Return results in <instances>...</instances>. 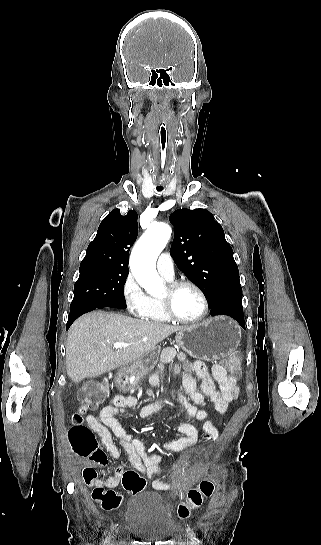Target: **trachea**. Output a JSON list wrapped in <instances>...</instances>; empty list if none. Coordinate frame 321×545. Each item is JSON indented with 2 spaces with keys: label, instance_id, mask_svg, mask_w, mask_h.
<instances>
[{
  "label": "trachea",
  "instance_id": "1",
  "mask_svg": "<svg viewBox=\"0 0 321 545\" xmlns=\"http://www.w3.org/2000/svg\"><path fill=\"white\" fill-rule=\"evenodd\" d=\"M160 135H159V143L161 144V146L163 147V149L161 150L162 152L160 153V158L162 159V163L160 164L162 167H159L158 168V173L159 174H164L165 173V168L163 167L165 164L164 162L166 161L165 159L167 158V153L165 152L166 150L164 149V147L166 146L165 143H166V135H167V127L166 125H161L160 127ZM158 181H161V178H158ZM157 186H160V187H157V190L158 191H161L163 190V187H161V183H157Z\"/></svg>",
  "mask_w": 321,
  "mask_h": 545
}]
</instances>
